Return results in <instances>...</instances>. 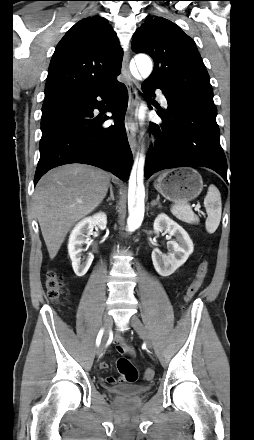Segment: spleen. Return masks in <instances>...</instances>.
I'll return each instance as SVG.
<instances>
[{
	"label": "spleen",
	"instance_id": "spleen-1",
	"mask_svg": "<svg viewBox=\"0 0 254 440\" xmlns=\"http://www.w3.org/2000/svg\"><path fill=\"white\" fill-rule=\"evenodd\" d=\"M204 207L208 215L205 227L207 232L212 234L219 226L222 213L221 195L218 188L213 184L208 188L207 195L204 199ZM171 212L176 218L186 223L192 224L199 221L187 203H177L173 205Z\"/></svg>",
	"mask_w": 254,
	"mask_h": 440
}]
</instances>
